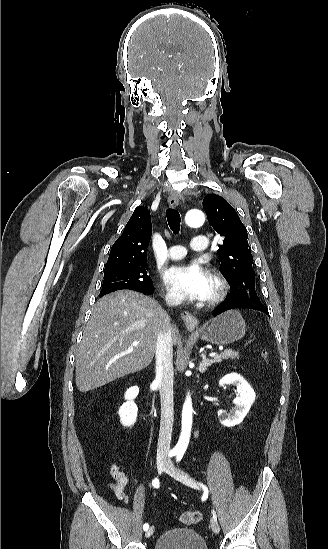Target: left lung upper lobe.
Returning a JSON list of instances; mask_svg holds the SVG:
<instances>
[{"mask_svg":"<svg viewBox=\"0 0 328 549\" xmlns=\"http://www.w3.org/2000/svg\"><path fill=\"white\" fill-rule=\"evenodd\" d=\"M203 208L209 224L223 238L217 253L221 262L220 272L231 287L228 298L259 300L247 230L237 212L225 199L215 194L204 198Z\"/></svg>","mask_w":328,"mask_h":549,"instance_id":"1","label":"left lung upper lobe"}]
</instances>
